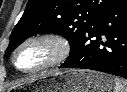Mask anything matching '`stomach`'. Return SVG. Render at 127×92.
<instances>
[{
  "label": "stomach",
  "mask_w": 127,
  "mask_h": 92,
  "mask_svg": "<svg viewBox=\"0 0 127 92\" xmlns=\"http://www.w3.org/2000/svg\"><path fill=\"white\" fill-rule=\"evenodd\" d=\"M34 92H113L114 83L106 75L69 69L51 71L32 79Z\"/></svg>",
  "instance_id": "1"
}]
</instances>
